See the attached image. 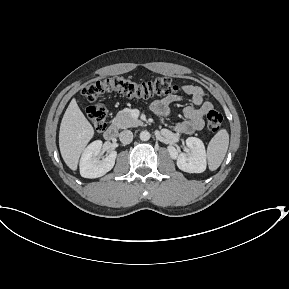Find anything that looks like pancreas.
Returning a JSON list of instances; mask_svg holds the SVG:
<instances>
[{
	"mask_svg": "<svg viewBox=\"0 0 289 289\" xmlns=\"http://www.w3.org/2000/svg\"><path fill=\"white\" fill-rule=\"evenodd\" d=\"M112 123L118 129L137 127L142 124L140 120L134 119L128 111L118 112Z\"/></svg>",
	"mask_w": 289,
	"mask_h": 289,
	"instance_id": "obj_1",
	"label": "pancreas"
}]
</instances>
